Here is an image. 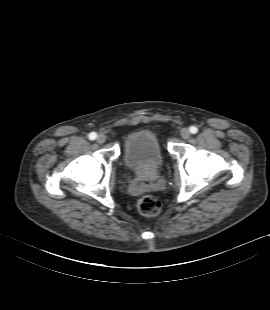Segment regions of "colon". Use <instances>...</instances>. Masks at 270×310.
<instances>
[{"instance_id": "1", "label": "colon", "mask_w": 270, "mask_h": 310, "mask_svg": "<svg viewBox=\"0 0 270 310\" xmlns=\"http://www.w3.org/2000/svg\"><path fill=\"white\" fill-rule=\"evenodd\" d=\"M138 211L145 216H157L161 212V204L154 196H143L137 202Z\"/></svg>"}]
</instances>
